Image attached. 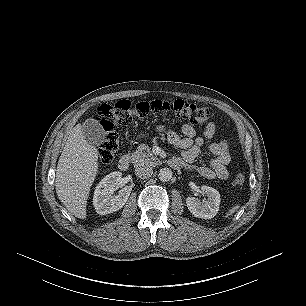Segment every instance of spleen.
<instances>
[{
	"instance_id": "1",
	"label": "spleen",
	"mask_w": 306,
	"mask_h": 306,
	"mask_svg": "<svg viewBox=\"0 0 306 306\" xmlns=\"http://www.w3.org/2000/svg\"><path fill=\"white\" fill-rule=\"evenodd\" d=\"M240 208L239 204H236L235 206H233L231 209H229V211L226 213V217L234 214L238 209Z\"/></svg>"
}]
</instances>
